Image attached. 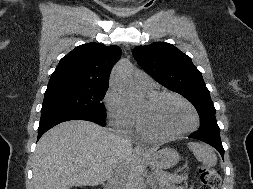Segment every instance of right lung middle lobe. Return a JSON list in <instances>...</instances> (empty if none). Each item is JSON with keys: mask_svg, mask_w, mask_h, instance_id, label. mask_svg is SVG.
<instances>
[{"mask_svg": "<svg viewBox=\"0 0 253 189\" xmlns=\"http://www.w3.org/2000/svg\"><path fill=\"white\" fill-rule=\"evenodd\" d=\"M108 87L61 86L45 92L41 113L64 111L105 118V106L101 102Z\"/></svg>", "mask_w": 253, "mask_h": 189, "instance_id": "right-lung-middle-lobe-1", "label": "right lung middle lobe"}]
</instances>
